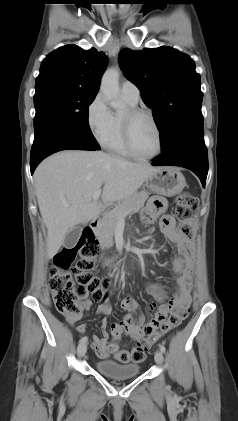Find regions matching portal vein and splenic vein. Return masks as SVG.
I'll return each instance as SVG.
<instances>
[{"label": "portal vein and splenic vein", "mask_w": 238, "mask_h": 421, "mask_svg": "<svg viewBox=\"0 0 238 421\" xmlns=\"http://www.w3.org/2000/svg\"><path fill=\"white\" fill-rule=\"evenodd\" d=\"M101 195V190H96L93 194V200L97 201ZM68 206V205H67ZM128 214V213H127Z\"/></svg>", "instance_id": "1"}]
</instances>
